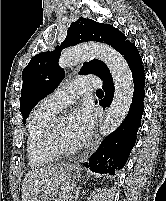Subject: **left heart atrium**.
Returning <instances> with one entry per match:
<instances>
[{
    "label": "left heart atrium",
    "mask_w": 166,
    "mask_h": 201,
    "mask_svg": "<svg viewBox=\"0 0 166 201\" xmlns=\"http://www.w3.org/2000/svg\"><path fill=\"white\" fill-rule=\"evenodd\" d=\"M93 115L88 107L76 109L70 115L68 129L77 146L83 145L93 128Z\"/></svg>",
    "instance_id": "left-heart-atrium-1"
}]
</instances>
